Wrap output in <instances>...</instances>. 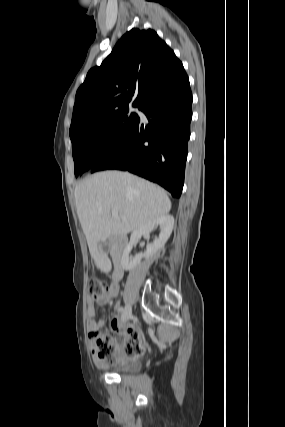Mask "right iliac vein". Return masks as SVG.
Listing matches in <instances>:
<instances>
[{"label":"right iliac vein","instance_id":"1","mask_svg":"<svg viewBox=\"0 0 285 427\" xmlns=\"http://www.w3.org/2000/svg\"><path fill=\"white\" fill-rule=\"evenodd\" d=\"M131 316H132V309H131V307L128 305V306H126V307H125V309H124V311H123V313H122L121 320H122L123 322H126V321H128V320L131 318Z\"/></svg>","mask_w":285,"mask_h":427}]
</instances>
